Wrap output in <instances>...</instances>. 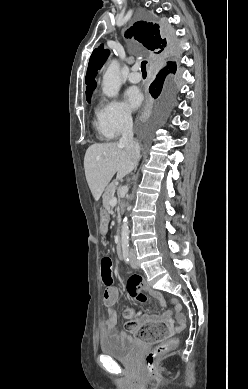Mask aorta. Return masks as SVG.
<instances>
[{
	"label": "aorta",
	"mask_w": 248,
	"mask_h": 389,
	"mask_svg": "<svg viewBox=\"0 0 248 389\" xmlns=\"http://www.w3.org/2000/svg\"><path fill=\"white\" fill-rule=\"evenodd\" d=\"M119 69V62L113 60L103 74L102 91L107 97H115L120 90L121 79ZM121 241L124 246H127L129 243V227L126 217L123 219L121 228Z\"/></svg>",
	"instance_id": "1"
}]
</instances>
